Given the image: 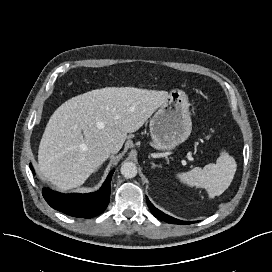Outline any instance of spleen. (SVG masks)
<instances>
[{"mask_svg":"<svg viewBox=\"0 0 272 272\" xmlns=\"http://www.w3.org/2000/svg\"><path fill=\"white\" fill-rule=\"evenodd\" d=\"M236 168L235 159L223 150L216 164H208L203 169L196 167L188 172L178 173L176 176L184 184L205 188L209 197L214 198L229 187Z\"/></svg>","mask_w":272,"mask_h":272,"instance_id":"spleen-1","label":"spleen"}]
</instances>
